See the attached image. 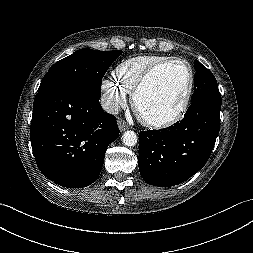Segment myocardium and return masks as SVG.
Instances as JSON below:
<instances>
[{"instance_id":"f54148a6","label":"myocardium","mask_w":253,"mask_h":253,"mask_svg":"<svg viewBox=\"0 0 253 253\" xmlns=\"http://www.w3.org/2000/svg\"><path fill=\"white\" fill-rule=\"evenodd\" d=\"M177 63L185 66V68L188 71V76H189V83H188V87H187L183 102H182L179 110L169 118L161 119V120H149V119H144V118L140 117L142 123L149 126V127H152V128L171 127V126L177 124L178 122H180L184 118V116L186 115L188 108L190 106V102H191V98H192L194 86H195V73H194L192 65L186 59L179 58V57L170 58V59L165 60L163 62L157 63V64L151 66L142 75V77L140 78V80L138 81V83L136 84V86L134 87V89L131 93L132 107L135 111H137L136 104H137L138 96L141 93V91L145 88V86L148 84V82L151 80V78L154 76V74L166 66L177 64Z\"/></svg>"}]
</instances>
